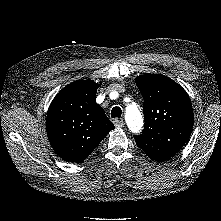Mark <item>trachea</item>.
Returning a JSON list of instances; mask_svg holds the SVG:
<instances>
[{
  "label": "trachea",
  "instance_id": "trachea-1",
  "mask_svg": "<svg viewBox=\"0 0 221 221\" xmlns=\"http://www.w3.org/2000/svg\"><path fill=\"white\" fill-rule=\"evenodd\" d=\"M121 114H122V110L120 107L116 106V107L112 108V110H111V117L112 118H120Z\"/></svg>",
  "mask_w": 221,
  "mask_h": 221
}]
</instances>
